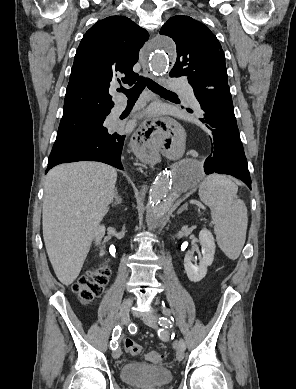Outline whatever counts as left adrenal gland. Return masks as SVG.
I'll return each instance as SVG.
<instances>
[{"label": "left adrenal gland", "instance_id": "1", "mask_svg": "<svg viewBox=\"0 0 296 389\" xmlns=\"http://www.w3.org/2000/svg\"><path fill=\"white\" fill-rule=\"evenodd\" d=\"M187 209V203H185L183 206H181L179 209H178V211H177V214H180V213H182L184 210H186Z\"/></svg>", "mask_w": 296, "mask_h": 389}]
</instances>
